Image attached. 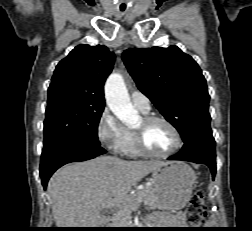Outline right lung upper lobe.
Instances as JSON below:
<instances>
[{"label":"right lung upper lobe","mask_w":252,"mask_h":231,"mask_svg":"<svg viewBox=\"0 0 252 231\" xmlns=\"http://www.w3.org/2000/svg\"><path fill=\"white\" fill-rule=\"evenodd\" d=\"M114 60V53L105 46H76L56 66L48 99L68 97L104 105V83L112 71Z\"/></svg>","instance_id":"obj_1"}]
</instances>
